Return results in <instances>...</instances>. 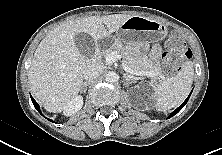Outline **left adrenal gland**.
<instances>
[{
	"label": "left adrenal gland",
	"mask_w": 222,
	"mask_h": 155,
	"mask_svg": "<svg viewBox=\"0 0 222 155\" xmlns=\"http://www.w3.org/2000/svg\"><path fill=\"white\" fill-rule=\"evenodd\" d=\"M124 80L126 81L127 86H128V83H129V81H130V78L124 74Z\"/></svg>",
	"instance_id": "1"
}]
</instances>
